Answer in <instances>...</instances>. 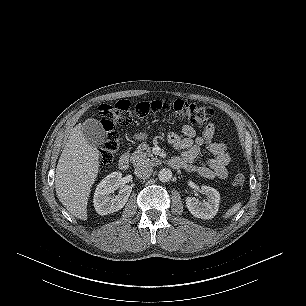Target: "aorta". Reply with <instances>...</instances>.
<instances>
[{
  "mask_svg": "<svg viewBox=\"0 0 306 306\" xmlns=\"http://www.w3.org/2000/svg\"><path fill=\"white\" fill-rule=\"evenodd\" d=\"M158 178L161 182H168L172 178V171L168 168H163L159 171Z\"/></svg>",
  "mask_w": 306,
  "mask_h": 306,
  "instance_id": "obj_1",
  "label": "aorta"
}]
</instances>
